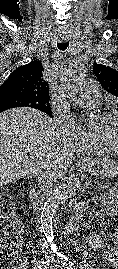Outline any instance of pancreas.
<instances>
[{"instance_id":"1","label":"pancreas","mask_w":118,"mask_h":269,"mask_svg":"<svg viewBox=\"0 0 118 269\" xmlns=\"http://www.w3.org/2000/svg\"><path fill=\"white\" fill-rule=\"evenodd\" d=\"M112 181L111 180H104V179H97L96 180V186L95 189L99 190L100 192H111L112 188L111 185Z\"/></svg>"}]
</instances>
